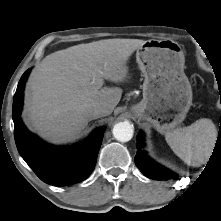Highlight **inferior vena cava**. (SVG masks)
<instances>
[{"instance_id":"1","label":"inferior vena cava","mask_w":221,"mask_h":221,"mask_svg":"<svg viewBox=\"0 0 221 221\" xmlns=\"http://www.w3.org/2000/svg\"><path fill=\"white\" fill-rule=\"evenodd\" d=\"M102 115H103V109L99 106L89 107L86 110V116L91 120L99 118Z\"/></svg>"}]
</instances>
